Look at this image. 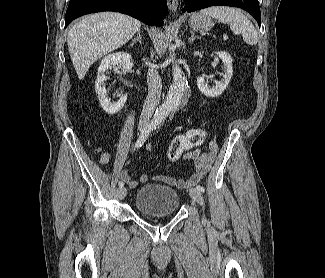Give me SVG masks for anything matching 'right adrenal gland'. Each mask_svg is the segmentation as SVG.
<instances>
[{
	"label": "right adrenal gland",
	"mask_w": 325,
	"mask_h": 278,
	"mask_svg": "<svg viewBox=\"0 0 325 278\" xmlns=\"http://www.w3.org/2000/svg\"><path fill=\"white\" fill-rule=\"evenodd\" d=\"M136 42L142 43V37H141V29L137 31L136 38L132 39L131 44H135Z\"/></svg>",
	"instance_id": "1"
}]
</instances>
